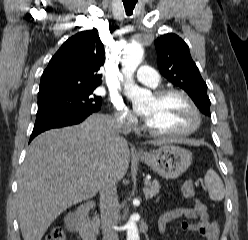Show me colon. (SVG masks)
I'll use <instances>...</instances> for the list:
<instances>
[{
  "instance_id": "5ec220e1",
  "label": "colon",
  "mask_w": 248,
  "mask_h": 240,
  "mask_svg": "<svg viewBox=\"0 0 248 240\" xmlns=\"http://www.w3.org/2000/svg\"><path fill=\"white\" fill-rule=\"evenodd\" d=\"M181 193L183 197L189 199L194 196V186L191 181H187L183 184ZM45 240H66L65 232L61 227H55L51 232L46 236Z\"/></svg>"
}]
</instances>
